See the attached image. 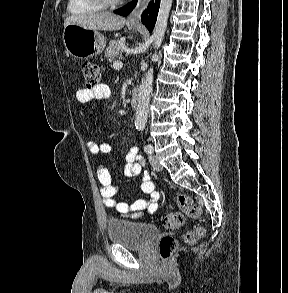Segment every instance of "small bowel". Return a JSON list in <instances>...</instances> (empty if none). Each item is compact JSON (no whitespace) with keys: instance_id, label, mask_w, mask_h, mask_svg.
<instances>
[{"instance_id":"obj_1","label":"small bowel","mask_w":288,"mask_h":293,"mask_svg":"<svg viewBox=\"0 0 288 293\" xmlns=\"http://www.w3.org/2000/svg\"><path fill=\"white\" fill-rule=\"evenodd\" d=\"M111 95L110 87L106 84H100L94 89H80L77 94V100L82 104L91 102H101L107 100ZM88 151L93 155L109 154L113 147L109 143H97L89 141L87 143ZM144 164L136 147H131L126 155L125 175L135 177L141 175L140 190L144 195L132 203L118 201L114 198L119 188L112 185L111 175L104 165L97 169L98 180L101 184L100 193L103 197L104 204L114 209L117 214L123 218L139 217L144 210L154 213L158 207L159 193L155 190L154 183L147 171L143 170Z\"/></svg>"}]
</instances>
